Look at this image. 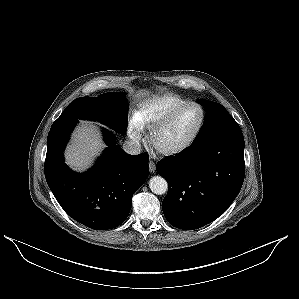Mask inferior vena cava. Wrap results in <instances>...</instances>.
<instances>
[{
  "instance_id": "inferior-vena-cava-1",
  "label": "inferior vena cava",
  "mask_w": 299,
  "mask_h": 299,
  "mask_svg": "<svg viewBox=\"0 0 299 299\" xmlns=\"http://www.w3.org/2000/svg\"><path fill=\"white\" fill-rule=\"evenodd\" d=\"M123 150L130 155H138L141 153V144L137 141L128 140L124 142Z\"/></svg>"
}]
</instances>
